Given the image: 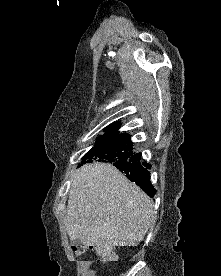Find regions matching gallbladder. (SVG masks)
Listing matches in <instances>:
<instances>
[{"instance_id":"obj_1","label":"gallbladder","mask_w":221,"mask_h":276,"mask_svg":"<svg viewBox=\"0 0 221 276\" xmlns=\"http://www.w3.org/2000/svg\"><path fill=\"white\" fill-rule=\"evenodd\" d=\"M72 243L75 245H79L81 242L79 240H73Z\"/></svg>"}]
</instances>
